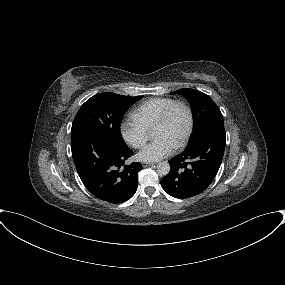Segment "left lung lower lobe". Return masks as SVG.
<instances>
[{
  "label": "left lung lower lobe",
  "instance_id": "left-lung-lower-lobe-1",
  "mask_svg": "<svg viewBox=\"0 0 285 285\" xmlns=\"http://www.w3.org/2000/svg\"><path fill=\"white\" fill-rule=\"evenodd\" d=\"M224 150V124L213 123L183 153L169 161L171 170L161 179L162 188L175 198L202 193L215 178Z\"/></svg>",
  "mask_w": 285,
  "mask_h": 285
}]
</instances>
